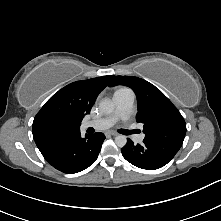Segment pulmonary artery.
Instances as JSON below:
<instances>
[{
	"label": "pulmonary artery",
	"instance_id": "pulmonary-artery-1",
	"mask_svg": "<svg viewBox=\"0 0 221 221\" xmlns=\"http://www.w3.org/2000/svg\"><path fill=\"white\" fill-rule=\"evenodd\" d=\"M115 112L108 117L100 118L96 120L86 121L82 124L83 129L94 128L96 130H104L111 127L117 120H126L131 112L134 103V94L132 91H125L114 94ZM144 139L143 134L134 136V140L137 143L142 142Z\"/></svg>",
	"mask_w": 221,
	"mask_h": 221
}]
</instances>
